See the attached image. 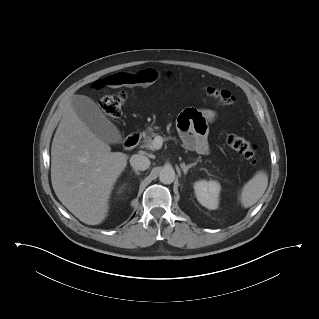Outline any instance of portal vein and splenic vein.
<instances>
[{"mask_svg": "<svg viewBox=\"0 0 319 319\" xmlns=\"http://www.w3.org/2000/svg\"><path fill=\"white\" fill-rule=\"evenodd\" d=\"M163 144V138L161 136H156L152 142V149H160Z\"/></svg>", "mask_w": 319, "mask_h": 319, "instance_id": "1", "label": "portal vein and splenic vein"}]
</instances>
